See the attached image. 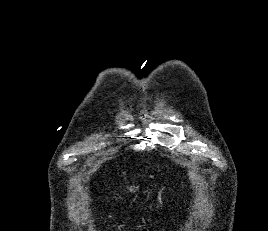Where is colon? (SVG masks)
Wrapping results in <instances>:
<instances>
[{
    "label": "colon",
    "mask_w": 268,
    "mask_h": 231,
    "mask_svg": "<svg viewBox=\"0 0 268 231\" xmlns=\"http://www.w3.org/2000/svg\"><path fill=\"white\" fill-rule=\"evenodd\" d=\"M123 187H118L117 190H114L112 189V192L115 194V195H119L120 194V190L122 189ZM127 190L129 191H132V192H135L137 190V188L133 185H130V186H127L125 187Z\"/></svg>",
    "instance_id": "colon-1"
}]
</instances>
